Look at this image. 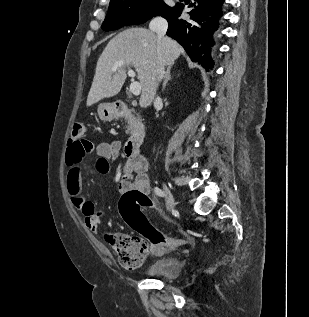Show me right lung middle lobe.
I'll return each instance as SVG.
<instances>
[{
    "label": "right lung middle lobe",
    "mask_w": 309,
    "mask_h": 317,
    "mask_svg": "<svg viewBox=\"0 0 309 317\" xmlns=\"http://www.w3.org/2000/svg\"><path fill=\"white\" fill-rule=\"evenodd\" d=\"M169 9L161 0H111L101 28L111 31L124 25L141 24Z\"/></svg>",
    "instance_id": "1"
}]
</instances>
